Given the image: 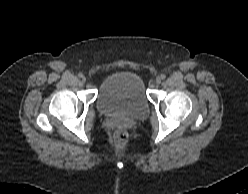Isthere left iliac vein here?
I'll list each match as a JSON object with an SVG mask.
<instances>
[{
	"label": "left iliac vein",
	"instance_id": "4c4485c4",
	"mask_svg": "<svg viewBox=\"0 0 248 194\" xmlns=\"http://www.w3.org/2000/svg\"><path fill=\"white\" fill-rule=\"evenodd\" d=\"M155 83L158 85V84H160L161 83V78L160 77H157L156 79H155Z\"/></svg>",
	"mask_w": 248,
	"mask_h": 194
}]
</instances>
